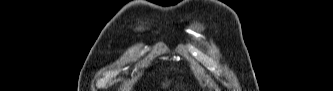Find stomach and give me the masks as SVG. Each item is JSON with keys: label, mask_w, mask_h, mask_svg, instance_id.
<instances>
[{"label": "stomach", "mask_w": 333, "mask_h": 91, "mask_svg": "<svg viewBox=\"0 0 333 91\" xmlns=\"http://www.w3.org/2000/svg\"><path fill=\"white\" fill-rule=\"evenodd\" d=\"M170 85V81L168 79H164L161 83H160V88L162 89H167Z\"/></svg>", "instance_id": "stomach-1"}]
</instances>
